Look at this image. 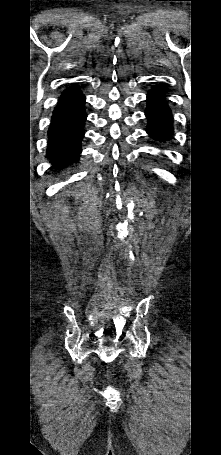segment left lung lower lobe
Wrapping results in <instances>:
<instances>
[{"label": "left lung lower lobe", "instance_id": "obj_1", "mask_svg": "<svg viewBox=\"0 0 221 455\" xmlns=\"http://www.w3.org/2000/svg\"><path fill=\"white\" fill-rule=\"evenodd\" d=\"M164 98L160 87L153 88L147 95V133L156 140H167L173 132L171 111Z\"/></svg>", "mask_w": 221, "mask_h": 455}]
</instances>
